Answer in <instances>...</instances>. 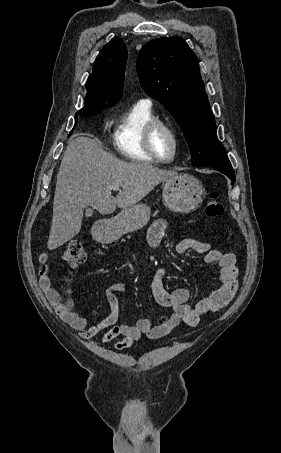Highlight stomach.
I'll return each mask as SVG.
<instances>
[{"mask_svg":"<svg viewBox=\"0 0 281 453\" xmlns=\"http://www.w3.org/2000/svg\"><path fill=\"white\" fill-rule=\"evenodd\" d=\"M204 186L192 174H178L167 178L163 184L162 198L173 212H193L204 198ZM151 208L147 204H134L123 208L114 218H106L100 227L93 231L100 243H113L122 235L143 229L150 220Z\"/></svg>","mask_w":281,"mask_h":453,"instance_id":"0dacf381","label":"stomach"}]
</instances>
